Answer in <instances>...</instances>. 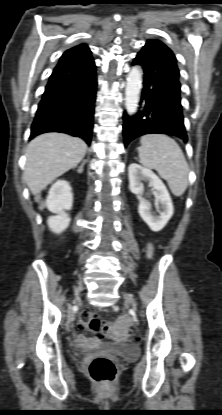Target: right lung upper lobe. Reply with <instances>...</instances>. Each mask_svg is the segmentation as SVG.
I'll return each instance as SVG.
<instances>
[{
  "label": "right lung upper lobe",
  "mask_w": 222,
  "mask_h": 415,
  "mask_svg": "<svg viewBox=\"0 0 222 415\" xmlns=\"http://www.w3.org/2000/svg\"><path fill=\"white\" fill-rule=\"evenodd\" d=\"M79 53H90V49L88 48L86 44H80L78 46H75L67 50L63 55L79 54Z\"/></svg>",
  "instance_id": "cb5924a9"
}]
</instances>
